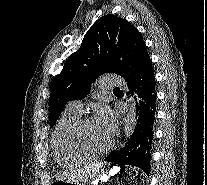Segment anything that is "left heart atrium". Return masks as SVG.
<instances>
[{
    "label": "left heart atrium",
    "instance_id": "obj_1",
    "mask_svg": "<svg viewBox=\"0 0 207 185\" xmlns=\"http://www.w3.org/2000/svg\"><path fill=\"white\" fill-rule=\"evenodd\" d=\"M94 121L109 135H114L117 128V122L114 113L108 107H101L97 111Z\"/></svg>",
    "mask_w": 207,
    "mask_h": 185
}]
</instances>
